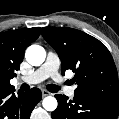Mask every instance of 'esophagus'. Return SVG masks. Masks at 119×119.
Returning a JSON list of instances; mask_svg holds the SVG:
<instances>
[{
    "instance_id": "1",
    "label": "esophagus",
    "mask_w": 119,
    "mask_h": 119,
    "mask_svg": "<svg viewBox=\"0 0 119 119\" xmlns=\"http://www.w3.org/2000/svg\"><path fill=\"white\" fill-rule=\"evenodd\" d=\"M41 92H42V96H48V95L51 94L50 92H48V91L45 90V89H43Z\"/></svg>"
}]
</instances>
